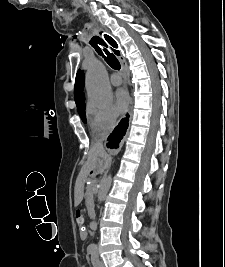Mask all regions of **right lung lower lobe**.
Masks as SVG:
<instances>
[{
    "instance_id": "1",
    "label": "right lung lower lobe",
    "mask_w": 225,
    "mask_h": 267,
    "mask_svg": "<svg viewBox=\"0 0 225 267\" xmlns=\"http://www.w3.org/2000/svg\"><path fill=\"white\" fill-rule=\"evenodd\" d=\"M128 122V119H123L119 126L115 128L113 133L108 137L109 143L107 144L108 147H114L117 148L118 143H119V132L121 129V125H124L125 123Z\"/></svg>"
}]
</instances>
